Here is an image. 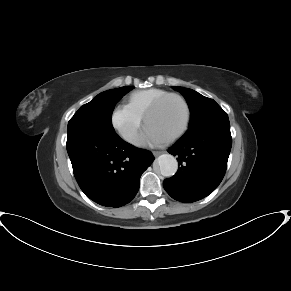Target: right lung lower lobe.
<instances>
[{"label":"right lung lower lobe","instance_id":"obj_1","mask_svg":"<svg viewBox=\"0 0 291 291\" xmlns=\"http://www.w3.org/2000/svg\"><path fill=\"white\" fill-rule=\"evenodd\" d=\"M66 147L81 190L107 207L129 203L139 190L142 173L154 161L151 152L132 146L115 132L72 130Z\"/></svg>","mask_w":291,"mask_h":291}]
</instances>
